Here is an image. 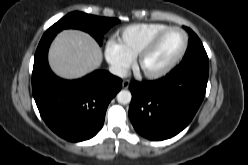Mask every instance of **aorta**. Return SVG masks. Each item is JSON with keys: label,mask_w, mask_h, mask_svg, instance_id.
Wrapping results in <instances>:
<instances>
[{"label": "aorta", "mask_w": 248, "mask_h": 165, "mask_svg": "<svg viewBox=\"0 0 248 165\" xmlns=\"http://www.w3.org/2000/svg\"><path fill=\"white\" fill-rule=\"evenodd\" d=\"M131 98H132V95H131L130 91H128V90H121L117 94V101L120 104H128V103H130Z\"/></svg>", "instance_id": "762f6f07"}]
</instances>
